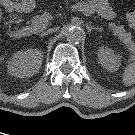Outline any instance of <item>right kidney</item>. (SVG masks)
Masks as SVG:
<instances>
[{"instance_id": "right-kidney-1", "label": "right kidney", "mask_w": 135, "mask_h": 135, "mask_svg": "<svg viewBox=\"0 0 135 135\" xmlns=\"http://www.w3.org/2000/svg\"><path fill=\"white\" fill-rule=\"evenodd\" d=\"M42 61L43 55L38 49L19 51L8 62V72L18 78L31 77L38 72Z\"/></svg>"}]
</instances>
